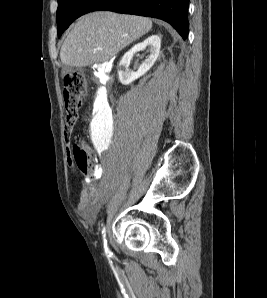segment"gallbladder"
<instances>
[{
	"label": "gallbladder",
	"instance_id": "obj_1",
	"mask_svg": "<svg viewBox=\"0 0 267 298\" xmlns=\"http://www.w3.org/2000/svg\"><path fill=\"white\" fill-rule=\"evenodd\" d=\"M72 70H73L72 67L65 66L62 71H63V74L65 75V74L71 72Z\"/></svg>",
	"mask_w": 267,
	"mask_h": 298
}]
</instances>
